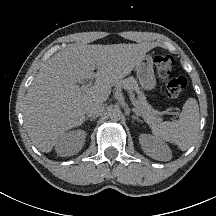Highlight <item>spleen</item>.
Segmentation results:
<instances>
[{
	"mask_svg": "<svg viewBox=\"0 0 216 216\" xmlns=\"http://www.w3.org/2000/svg\"><path fill=\"white\" fill-rule=\"evenodd\" d=\"M199 106L194 98H189L183 105L179 119L165 121L152 127L156 138L176 144L182 151L194 143L200 125Z\"/></svg>",
	"mask_w": 216,
	"mask_h": 216,
	"instance_id": "3e777b00",
	"label": "spleen"
}]
</instances>
